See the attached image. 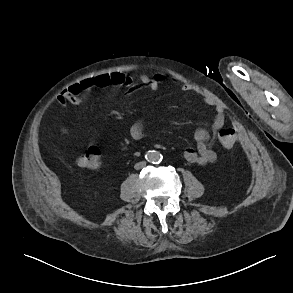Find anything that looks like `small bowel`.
<instances>
[{
    "mask_svg": "<svg viewBox=\"0 0 293 293\" xmlns=\"http://www.w3.org/2000/svg\"><path fill=\"white\" fill-rule=\"evenodd\" d=\"M163 74L157 73L152 78L141 76L138 84H134L131 78L122 72L101 73L93 77L84 78L65 89L59 96L58 102L62 105L70 103L72 105H81L87 95L94 89H106L109 87L134 89L135 87H146L152 91L158 90L159 83L163 81ZM173 82L179 86L182 91L189 92L192 88L186 84ZM225 124V116L222 109L217 108L212 131L222 128ZM130 134L134 139L143 137V123L136 121L130 127ZM212 135L206 129H198L194 133L195 147H188L184 151V158L192 164L205 165L216 160V152L211 148Z\"/></svg>",
    "mask_w": 293,
    "mask_h": 293,
    "instance_id": "1",
    "label": "small bowel"
}]
</instances>
